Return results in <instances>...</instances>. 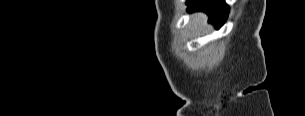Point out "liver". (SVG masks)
I'll use <instances>...</instances> for the list:
<instances>
[{
  "label": "liver",
  "instance_id": "6515ba94",
  "mask_svg": "<svg viewBox=\"0 0 305 116\" xmlns=\"http://www.w3.org/2000/svg\"><path fill=\"white\" fill-rule=\"evenodd\" d=\"M194 25L205 26L207 22V16L203 13H195L192 17Z\"/></svg>",
  "mask_w": 305,
  "mask_h": 116
}]
</instances>
